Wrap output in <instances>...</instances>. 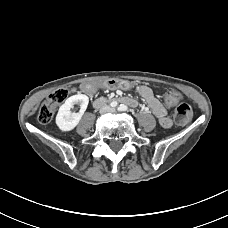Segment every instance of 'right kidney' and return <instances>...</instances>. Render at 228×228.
<instances>
[{"label":"right kidney","mask_w":228,"mask_h":228,"mask_svg":"<svg viewBox=\"0 0 228 228\" xmlns=\"http://www.w3.org/2000/svg\"><path fill=\"white\" fill-rule=\"evenodd\" d=\"M88 103L89 98L84 94L69 97L65 103L61 105L56 116V124L59 129L64 132L73 130L81 120ZM75 104L80 105V111L77 113L71 112V108H73Z\"/></svg>","instance_id":"1"}]
</instances>
